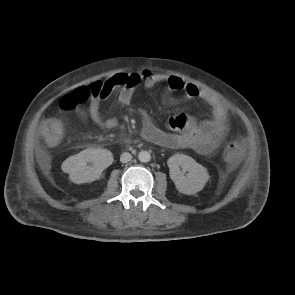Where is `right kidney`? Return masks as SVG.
Returning <instances> with one entry per match:
<instances>
[{
    "instance_id": "ca27d5eb",
    "label": "right kidney",
    "mask_w": 295,
    "mask_h": 295,
    "mask_svg": "<svg viewBox=\"0 0 295 295\" xmlns=\"http://www.w3.org/2000/svg\"><path fill=\"white\" fill-rule=\"evenodd\" d=\"M113 163V154L102 148H88L70 156L62 163V170L76 184L92 182ZM88 164V165H87Z\"/></svg>"
}]
</instances>
